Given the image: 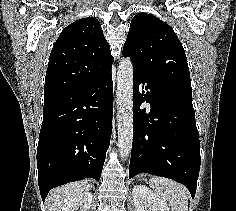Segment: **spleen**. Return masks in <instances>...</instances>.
<instances>
[{
  "label": "spleen",
  "mask_w": 236,
  "mask_h": 211,
  "mask_svg": "<svg viewBox=\"0 0 236 211\" xmlns=\"http://www.w3.org/2000/svg\"><path fill=\"white\" fill-rule=\"evenodd\" d=\"M156 195L168 202L171 211H188V193L186 189L163 177H152L149 181Z\"/></svg>",
  "instance_id": "obj_1"
}]
</instances>
